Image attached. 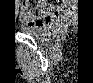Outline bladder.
<instances>
[{
	"mask_svg": "<svg viewBox=\"0 0 93 83\" xmlns=\"http://www.w3.org/2000/svg\"><path fill=\"white\" fill-rule=\"evenodd\" d=\"M28 31L30 32V34H32L38 38H44L45 37V32L41 28L31 27V28H28Z\"/></svg>",
	"mask_w": 93,
	"mask_h": 83,
	"instance_id": "obj_1",
	"label": "bladder"
}]
</instances>
